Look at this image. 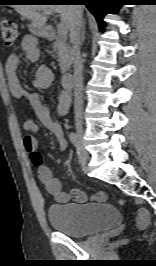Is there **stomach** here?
I'll use <instances>...</instances> for the list:
<instances>
[{"label": "stomach", "mask_w": 156, "mask_h": 266, "mask_svg": "<svg viewBox=\"0 0 156 266\" xmlns=\"http://www.w3.org/2000/svg\"><path fill=\"white\" fill-rule=\"evenodd\" d=\"M30 30L32 33L36 34V35H41L43 33V29L39 28V27H34L32 26V24L30 25Z\"/></svg>", "instance_id": "0dacf381"}]
</instances>
